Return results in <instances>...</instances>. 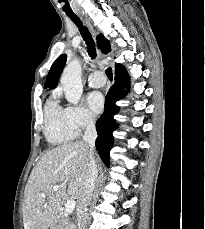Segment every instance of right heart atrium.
<instances>
[{"label":"right heart atrium","instance_id":"1","mask_svg":"<svg viewBox=\"0 0 205 229\" xmlns=\"http://www.w3.org/2000/svg\"><path fill=\"white\" fill-rule=\"evenodd\" d=\"M65 111L69 123L77 133L93 127L96 123L95 116L83 105H69Z\"/></svg>","mask_w":205,"mask_h":229}]
</instances>
